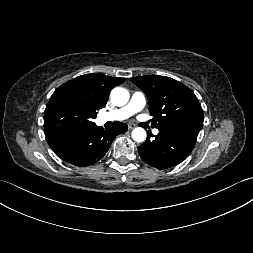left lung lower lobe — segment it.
I'll return each instance as SVG.
<instances>
[{"label": "left lung lower lobe", "instance_id": "obj_1", "mask_svg": "<svg viewBox=\"0 0 253 253\" xmlns=\"http://www.w3.org/2000/svg\"><path fill=\"white\" fill-rule=\"evenodd\" d=\"M148 134L138 147L141 159L157 169H166L184 161L192 151L198 135L159 130L158 135Z\"/></svg>", "mask_w": 253, "mask_h": 253}]
</instances>
